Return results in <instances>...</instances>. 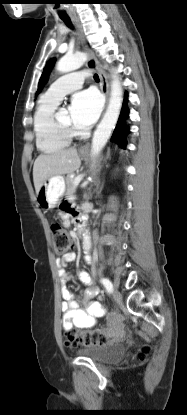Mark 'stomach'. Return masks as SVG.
Here are the masks:
<instances>
[{
  "label": "stomach",
  "mask_w": 187,
  "mask_h": 415,
  "mask_svg": "<svg viewBox=\"0 0 187 415\" xmlns=\"http://www.w3.org/2000/svg\"><path fill=\"white\" fill-rule=\"evenodd\" d=\"M64 192V177L61 175L52 176L44 182L37 193V203L43 210L53 209L59 203Z\"/></svg>",
  "instance_id": "obj_1"
}]
</instances>
